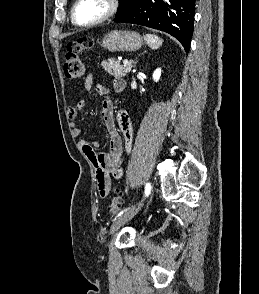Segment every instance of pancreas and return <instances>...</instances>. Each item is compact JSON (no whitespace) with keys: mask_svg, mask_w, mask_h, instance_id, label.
Listing matches in <instances>:
<instances>
[{"mask_svg":"<svg viewBox=\"0 0 259 294\" xmlns=\"http://www.w3.org/2000/svg\"><path fill=\"white\" fill-rule=\"evenodd\" d=\"M103 69L114 77H124L132 69V65H121L119 61L114 58L104 60L101 63Z\"/></svg>","mask_w":259,"mask_h":294,"instance_id":"pancreas-1","label":"pancreas"}]
</instances>
